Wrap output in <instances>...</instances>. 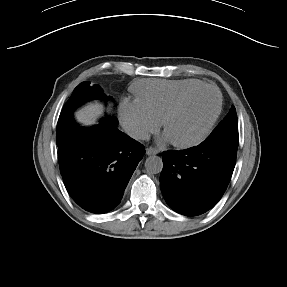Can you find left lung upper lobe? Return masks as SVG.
Listing matches in <instances>:
<instances>
[{"instance_id": "1", "label": "left lung upper lobe", "mask_w": 287, "mask_h": 287, "mask_svg": "<svg viewBox=\"0 0 287 287\" xmlns=\"http://www.w3.org/2000/svg\"><path fill=\"white\" fill-rule=\"evenodd\" d=\"M205 141L223 148L232 156H237L239 135L237 114L234 106Z\"/></svg>"}]
</instances>
